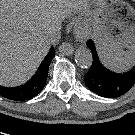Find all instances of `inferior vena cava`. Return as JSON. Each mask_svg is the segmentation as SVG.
Segmentation results:
<instances>
[{
	"label": "inferior vena cava",
	"mask_w": 135,
	"mask_h": 135,
	"mask_svg": "<svg viewBox=\"0 0 135 135\" xmlns=\"http://www.w3.org/2000/svg\"><path fill=\"white\" fill-rule=\"evenodd\" d=\"M60 31H54L45 40V46L50 48L52 45H56L60 41Z\"/></svg>",
	"instance_id": "obj_1"
}]
</instances>
